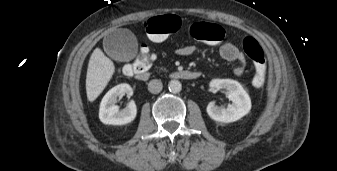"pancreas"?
Returning a JSON list of instances; mask_svg holds the SVG:
<instances>
[{"label": "pancreas", "instance_id": "obj_1", "mask_svg": "<svg viewBox=\"0 0 337 171\" xmlns=\"http://www.w3.org/2000/svg\"><path fill=\"white\" fill-rule=\"evenodd\" d=\"M161 69H163L164 71L166 70L165 68H161Z\"/></svg>", "mask_w": 337, "mask_h": 171}]
</instances>
